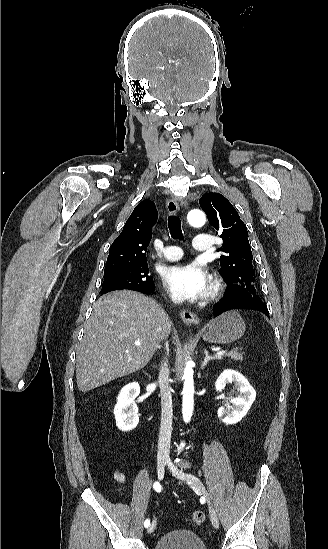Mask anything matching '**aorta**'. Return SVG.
Segmentation results:
<instances>
[{"label": "aorta", "mask_w": 328, "mask_h": 549, "mask_svg": "<svg viewBox=\"0 0 328 549\" xmlns=\"http://www.w3.org/2000/svg\"><path fill=\"white\" fill-rule=\"evenodd\" d=\"M189 224L193 227H201L205 224L206 218L203 211L199 209L191 210L187 215ZM183 403H182V415L185 423L191 420L194 405V380H193V368L192 362L188 361L184 369L183 374ZM185 443L182 442L179 449L183 448Z\"/></svg>", "instance_id": "obj_1"}]
</instances>
